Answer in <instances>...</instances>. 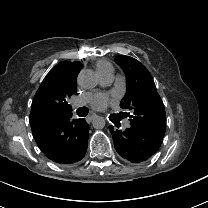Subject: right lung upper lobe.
<instances>
[{
    "instance_id": "1",
    "label": "right lung upper lobe",
    "mask_w": 208,
    "mask_h": 208,
    "mask_svg": "<svg viewBox=\"0 0 208 208\" xmlns=\"http://www.w3.org/2000/svg\"><path fill=\"white\" fill-rule=\"evenodd\" d=\"M81 68L82 64L78 61H63L52 68L34 96L30 118L52 115L71 117L68 100L76 94V81Z\"/></svg>"
}]
</instances>
